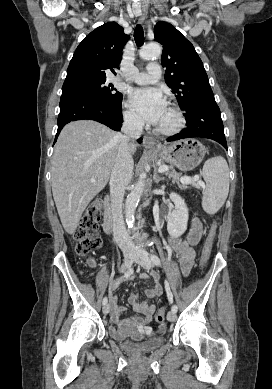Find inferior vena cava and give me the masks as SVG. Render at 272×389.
Returning a JSON list of instances; mask_svg holds the SVG:
<instances>
[{
    "label": "inferior vena cava",
    "instance_id": "1",
    "mask_svg": "<svg viewBox=\"0 0 272 389\" xmlns=\"http://www.w3.org/2000/svg\"><path fill=\"white\" fill-rule=\"evenodd\" d=\"M143 123L132 115L124 117L122 134L119 135V148L110 177V196L112 209V229L114 239L124 254L135 252L134 245L126 230L122 204L126 186L130 183L133 173V158L129 151L131 139L142 134Z\"/></svg>",
    "mask_w": 272,
    "mask_h": 389
}]
</instances>
